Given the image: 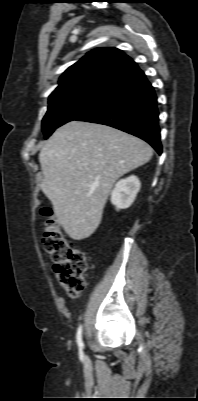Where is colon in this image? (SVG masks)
<instances>
[{"label": "colon", "mask_w": 198, "mask_h": 401, "mask_svg": "<svg viewBox=\"0 0 198 401\" xmlns=\"http://www.w3.org/2000/svg\"><path fill=\"white\" fill-rule=\"evenodd\" d=\"M45 217L43 247L55 263L54 272L67 293L76 298L85 286L84 275L88 269L85 253L74 247L60 230L58 221L48 208L42 210Z\"/></svg>", "instance_id": "colon-1"}]
</instances>
